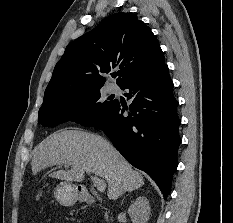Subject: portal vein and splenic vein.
I'll list each match as a JSON object with an SVG mask.
<instances>
[{"label": "portal vein and splenic vein", "instance_id": "1", "mask_svg": "<svg viewBox=\"0 0 233 223\" xmlns=\"http://www.w3.org/2000/svg\"><path fill=\"white\" fill-rule=\"evenodd\" d=\"M90 179L98 189H104V187H106L105 179H101V177H97V175H91Z\"/></svg>", "mask_w": 233, "mask_h": 223}]
</instances>
